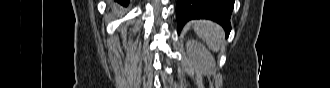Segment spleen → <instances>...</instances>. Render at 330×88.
<instances>
[{"label":"spleen","instance_id":"1","mask_svg":"<svg viewBox=\"0 0 330 88\" xmlns=\"http://www.w3.org/2000/svg\"><path fill=\"white\" fill-rule=\"evenodd\" d=\"M195 33L207 43L213 51H219L223 41L222 28L208 20H195L192 23Z\"/></svg>","mask_w":330,"mask_h":88}]
</instances>
